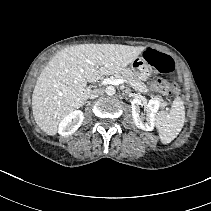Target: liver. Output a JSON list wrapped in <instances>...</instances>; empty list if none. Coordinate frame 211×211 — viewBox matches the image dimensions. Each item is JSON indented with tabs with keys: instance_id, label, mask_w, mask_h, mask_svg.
<instances>
[{
	"instance_id": "6515ba94",
	"label": "liver",
	"mask_w": 211,
	"mask_h": 211,
	"mask_svg": "<svg viewBox=\"0 0 211 211\" xmlns=\"http://www.w3.org/2000/svg\"><path fill=\"white\" fill-rule=\"evenodd\" d=\"M142 46L79 44L58 51L42 69L32 94L38 127L56 135L60 122L83 107L92 90L87 83L124 70L143 51Z\"/></svg>"
}]
</instances>
